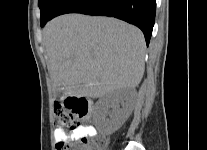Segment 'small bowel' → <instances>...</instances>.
I'll list each match as a JSON object with an SVG mask.
<instances>
[{"label":"small bowel","instance_id":"obj_1","mask_svg":"<svg viewBox=\"0 0 207 150\" xmlns=\"http://www.w3.org/2000/svg\"><path fill=\"white\" fill-rule=\"evenodd\" d=\"M96 134V131L91 126L80 127L72 131L66 129H56L54 131V139L56 142L67 139L69 135L74 139H80L83 137H93Z\"/></svg>","mask_w":207,"mask_h":150}]
</instances>
